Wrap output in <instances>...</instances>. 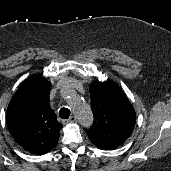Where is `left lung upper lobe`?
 <instances>
[{"instance_id": "5c2ea615", "label": "left lung upper lobe", "mask_w": 171, "mask_h": 171, "mask_svg": "<svg viewBox=\"0 0 171 171\" xmlns=\"http://www.w3.org/2000/svg\"><path fill=\"white\" fill-rule=\"evenodd\" d=\"M90 96L94 123L87 134L98 148L115 149L134 129V109L121 88L110 81L92 83Z\"/></svg>"}]
</instances>
